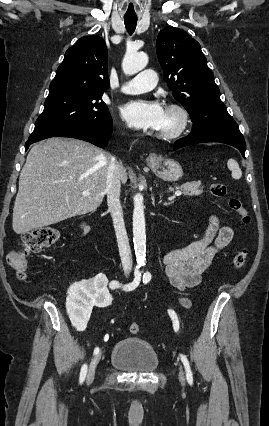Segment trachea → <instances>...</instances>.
Masks as SVG:
<instances>
[{
  "mask_svg": "<svg viewBox=\"0 0 269 426\" xmlns=\"http://www.w3.org/2000/svg\"><path fill=\"white\" fill-rule=\"evenodd\" d=\"M124 23H125V27H126V30L128 31V33L133 34L135 29H136L137 18L125 17Z\"/></svg>",
  "mask_w": 269,
  "mask_h": 426,
  "instance_id": "1",
  "label": "trachea"
}]
</instances>
